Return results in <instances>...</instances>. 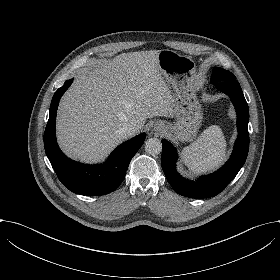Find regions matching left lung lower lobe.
Returning a JSON list of instances; mask_svg holds the SVG:
<instances>
[{
    "instance_id": "left-lung-lower-lobe-1",
    "label": "left lung lower lobe",
    "mask_w": 280,
    "mask_h": 280,
    "mask_svg": "<svg viewBox=\"0 0 280 280\" xmlns=\"http://www.w3.org/2000/svg\"><path fill=\"white\" fill-rule=\"evenodd\" d=\"M232 100L237 112L238 137L234 150L225 165L213 174L199 178L196 182L181 177L175 168L176 149L167 140H162L161 164L166 178L180 195L191 198H208L219 194L237 175L244 165L249 149V109L238 81L215 84Z\"/></svg>"
}]
</instances>
